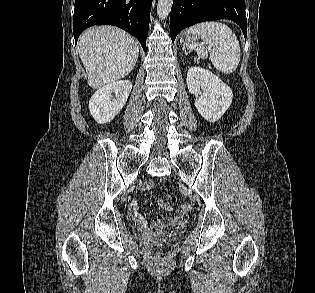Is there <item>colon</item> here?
<instances>
[{
    "label": "colon",
    "instance_id": "5ec220e1",
    "mask_svg": "<svg viewBox=\"0 0 315 293\" xmlns=\"http://www.w3.org/2000/svg\"><path fill=\"white\" fill-rule=\"evenodd\" d=\"M172 202H176V198L174 196H169ZM179 211H184L185 214L188 212L190 206L187 202L181 201L178 203Z\"/></svg>",
    "mask_w": 315,
    "mask_h": 293
}]
</instances>
